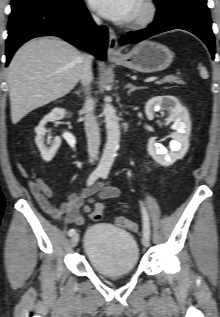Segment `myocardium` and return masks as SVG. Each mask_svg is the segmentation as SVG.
Returning <instances> with one entry per match:
<instances>
[{"label":"myocardium","mask_w":220,"mask_h":317,"mask_svg":"<svg viewBox=\"0 0 220 317\" xmlns=\"http://www.w3.org/2000/svg\"><path fill=\"white\" fill-rule=\"evenodd\" d=\"M140 12L130 21V27L142 28L150 25L157 17L158 7L154 0H139Z\"/></svg>","instance_id":"myocardium-1"}]
</instances>
